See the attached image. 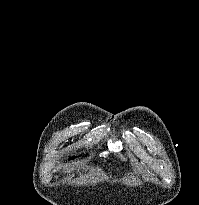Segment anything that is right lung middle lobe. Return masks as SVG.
Masks as SVG:
<instances>
[{
	"label": "right lung middle lobe",
	"instance_id": "obj_1",
	"mask_svg": "<svg viewBox=\"0 0 199 205\" xmlns=\"http://www.w3.org/2000/svg\"><path fill=\"white\" fill-rule=\"evenodd\" d=\"M75 157L69 158V160L74 159Z\"/></svg>",
	"mask_w": 199,
	"mask_h": 205
}]
</instances>
